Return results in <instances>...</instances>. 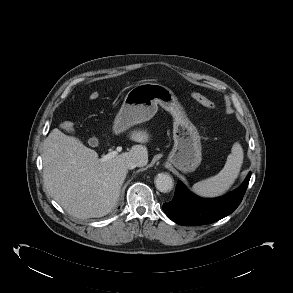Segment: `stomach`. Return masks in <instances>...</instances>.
<instances>
[{
	"mask_svg": "<svg viewBox=\"0 0 293 293\" xmlns=\"http://www.w3.org/2000/svg\"><path fill=\"white\" fill-rule=\"evenodd\" d=\"M158 105L173 117L174 146L168 161L185 173L194 171L202 160L199 132L173 91L164 85L142 83L133 87L115 118L114 132L118 134L150 120L156 114Z\"/></svg>",
	"mask_w": 293,
	"mask_h": 293,
	"instance_id": "stomach-1",
	"label": "stomach"
}]
</instances>
